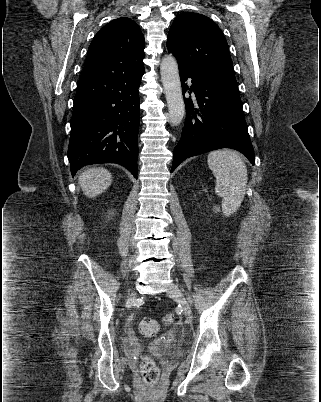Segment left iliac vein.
<instances>
[{"instance_id":"4c4485c4","label":"left iliac vein","mask_w":321,"mask_h":402,"mask_svg":"<svg viewBox=\"0 0 321 402\" xmlns=\"http://www.w3.org/2000/svg\"><path fill=\"white\" fill-rule=\"evenodd\" d=\"M167 294L174 298L182 307L183 313L186 316L191 315V307L185 298L184 294L182 293L181 289L174 283H171L168 287Z\"/></svg>"}]
</instances>
